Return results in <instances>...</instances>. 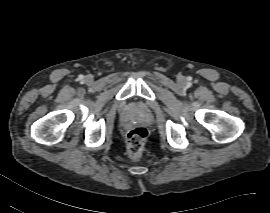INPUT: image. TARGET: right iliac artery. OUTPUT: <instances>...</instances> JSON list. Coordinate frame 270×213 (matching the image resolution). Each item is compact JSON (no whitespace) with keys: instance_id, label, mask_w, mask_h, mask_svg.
<instances>
[{"instance_id":"right-iliac-artery-1","label":"right iliac artery","mask_w":270,"mask_h":213,"mask_svg":"<svg viewBox=\"0 0 270 213\" xmlns=\"http://www.w3.org/2000/svg\"><path fill=\"white\" fill-rule=\"evenodd\" d=\"M80 79H83V76H79Z\"/></svg>"}]
</instances>
